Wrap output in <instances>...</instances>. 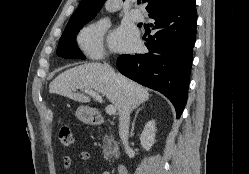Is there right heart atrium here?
Instances as JSON below:
<instances>
[{
  "mask_svg": "<svg viewBox=\"0 0 249 174\" xmlns=\"http://www.w3.org/2000/svg\"><path fill=\"white\" fill-rule=\"evenodd\" d=\"M107 23L100 20L85 26L77 36L80 50L93 59H100L105 53L104 36Z\"/></svg>",
  "mask_w": 249,
  "mask_h": 174,
  "instance_id": "d8ad5b80",
  "label": "right heart atrium"
}]
</instances>
